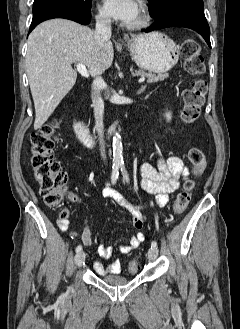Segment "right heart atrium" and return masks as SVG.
I'll return each instance as SVG.
<instances>
[{"instance_id":"right-heart-atrium-1","label":"right heart atrium","mask_w":240,"mask_h":329,"mask_svg":"<svg viewBox=\"0 0 240 329\" xmlns=\"http://www.w3.org/2000/svg\"><path fill=\"white\" fill-rule=\"evenodd\" d=\"M96 19L101 24H108V23H110L109 17L102 10H99L97 12Z\"/></svg>"}]
</instances>
